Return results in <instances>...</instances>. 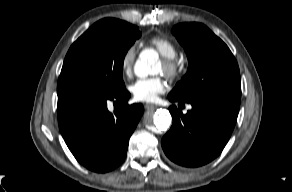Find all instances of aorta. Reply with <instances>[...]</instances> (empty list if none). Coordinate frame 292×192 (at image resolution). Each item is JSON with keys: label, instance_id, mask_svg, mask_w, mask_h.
Wrapping results in <instances>:
<instances>
[{"label": "aorta", "instance_id": "1", "mask_svg": "<svg viewBox=\"0 0 292 192\" xmlns=\"http://www.w3.org/2000/svg\"><path fill=\"white\" fill-rule=\"evenodd\" d=\"M158 61V55L154 50H144L134 66L136 76L145 78L154 73V67ZM171 115L166 109H158L153 116V123L157 129L164 131L170 126Z\"/></svg>", "mask_w": 292, "mask_h": 192}]
</instances>
